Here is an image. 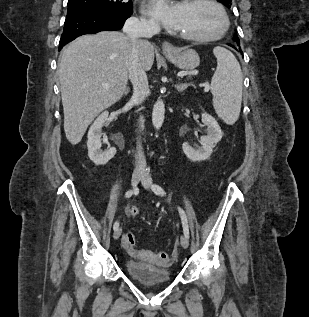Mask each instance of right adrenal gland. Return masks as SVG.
Returning a JSON list of instances; mask_svg holds the SVG:
<instances>
[{
	"label": "right adrenal gland",
	"mask_w": 309,
	"mask_h": 317,
	"mask_svg": "<svg viewBox=\"0 0 309 317\" xmlns=\"http://www.w3.org/2000/svg\"><path fill=\"white\" fill-rule=\"evenodd\" d=\"M129 91H130V89H129V87H127V88L125 89V91H124V94L127 95V94L129 93Z\"/></svg>",
	"instance_id": "2a0ac1e0"
}]
</instances>
